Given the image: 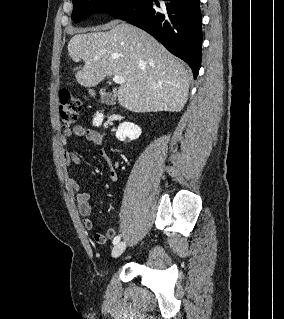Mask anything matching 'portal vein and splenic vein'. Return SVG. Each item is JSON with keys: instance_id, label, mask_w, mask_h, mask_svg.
Here are the masks:
<instances>
[{"instance_id": "obj_1", "label": "portal vein and splenic vein", "mask_w": 284, "mask_h": 319, "mask_svg": "<svg viewBox=\"0 0 284 319\" xmlns=\"http://www.w3.org/2000/svg\"><path fill=\"white\" fill-rule=\"evenodd\" d=\"M113 82L116 84H123L125 82L124 78L122 76L119 75H115L113 77Z\"/></svg>"}]
</instances>
